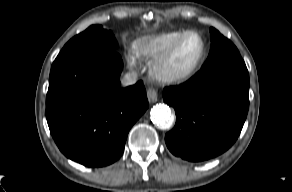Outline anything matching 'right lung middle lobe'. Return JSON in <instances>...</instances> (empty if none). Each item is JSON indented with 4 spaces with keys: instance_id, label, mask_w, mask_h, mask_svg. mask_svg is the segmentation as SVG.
<instances>
[{
    "instance_id": "1",
    "label": "right lung middle lobe",
    "mask_w": 292,
    "mask_h": 192,
    "mask_svg": "<svg viewBox=\"0 0 292 192\" xmlns=\"http://www.w3.org/2000/svg\"><path fill=\"white\" fill-rule=\"evenodd\" d=\"M117 43L111 31L100 25H92L68 41L62 51L72 49L116 48Z\"/></svg>"
}]
</instances>
